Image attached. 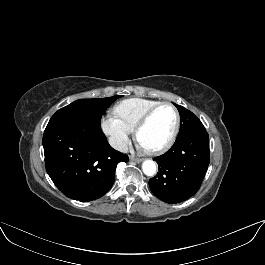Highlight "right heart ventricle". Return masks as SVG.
<instances>
[{"label": "right heart ventricle", "mask_w": 265, "mask_h": 265, "mask_svg": "<svg viewBox=\"0 0 265 265\" xmlns=\"http://www.w3.org/2000/svg\"><path fill=\"white\" fill-rule=\"evenodd\" d=\"M158 103L160 101L149 98H129L118 102L113 107V113L133 130L143 114Z\"/></svg>", "instance_id": "e07e8e85"}]
</instances>
